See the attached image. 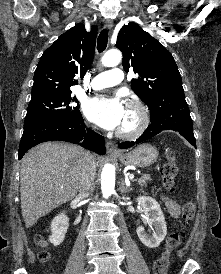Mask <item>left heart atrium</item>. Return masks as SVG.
Returning <instances> with one entry per match:
<instances>
[{"label":"left heart atrium","mask_w":221,"mask_h":274,"mask_svg":"<svg viewBox=\"0 0 221 274\" xmlns=\"http://www.w3.org/2000/svg\"><path fill=\"white\" fill-rule=\"evenodd\" d=\"M86 117L107 130L119 128L125 108L118 97H94L84 105Z\"/></svg>","instance_id":"left-heart-atrium-1"}]
</instances>
